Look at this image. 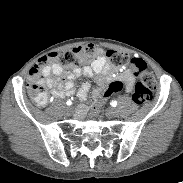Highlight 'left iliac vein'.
<instances>
[{
    "label": "left iliac vein",
    "instance_id": "obj_1",
    "mask_svg": "<svg viewBox=\"0 0 183 183\" xmlns=\"http://www.w3.org/2000/svg\"><path fill=\"white\" fill-rule=\"evenodd\" d=\"M106 115L110 118L112 117H117L119 115V111L118 109L116 108H109L107 111H106Z\"/></svg>",
    "mask_w": 183,
    "mask_h": 183
}]
</instances>
